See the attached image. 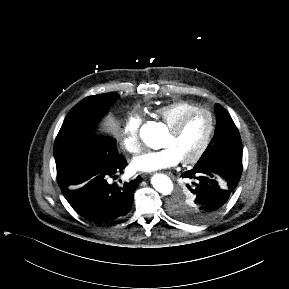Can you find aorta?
<instances>
[{
  "mask_svg": "<svg viewBox=\"0 0 289 289\" xmlns=\"http://www.w3.org/2000/svg\"><path fill=\"white\" fill-rule=\"evenodd\" d=\"M165 134V127L161 123L149 122L140 130L143 142L152 149L161 148L162 138ZM153 187L163 195H169L173 191L171 179L164 174H156L152 177Z\"/></svg>",
  "mask_w": 289,
  "mask_h": 289,
  "instance_id": "obj_1",
  "label": "aorta"
}]
</instances>
